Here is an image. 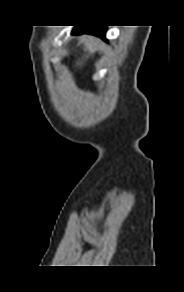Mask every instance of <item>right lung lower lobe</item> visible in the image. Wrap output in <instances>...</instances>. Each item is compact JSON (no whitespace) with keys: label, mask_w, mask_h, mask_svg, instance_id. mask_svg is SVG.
I'll list each match as a JSON object with an SVG mask.
<instances>
[{"label":"right lung lower lobe","mask_w":184,"mask_h":292,"mask_svg":"<svg viewBox=\"0 0 184 292\" xmlns=\"http://www.w3.org/2000/svg\"><path fill=\"white\" fill-rule=\"evenodd\" d=\"M105 31L106 26H76L73 29L72 33L73 34L89 33L100 37H104Z\"/></svg>","instance_id":"98d812e1"}]
</instances>
